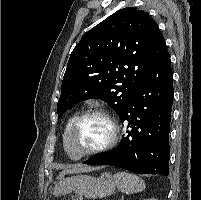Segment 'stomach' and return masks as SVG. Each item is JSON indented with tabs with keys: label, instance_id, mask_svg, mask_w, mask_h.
<instances>
[{
	"label": "stomach",
	"instance_id": "obj_1",
	"mask_svg": "<svg viewBox=\"0 0 201 200\" xmlns=\"http://www.w3.org/2000/svg\"><path fill=\"white\" fill-rule=\"evenodd\" d=\"M115 181L110 173H103L100 177L90 175H76L61 178L55 183L51 193L54 196L76 192L90 199L106 197L115 191Z\"/></svg>",
	"mask_w": 201,
	"mask_h": 200
}]
</instances>
